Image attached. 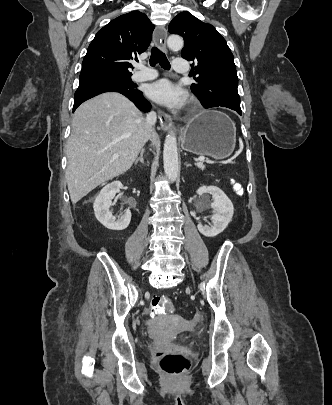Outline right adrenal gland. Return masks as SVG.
<instances>
[{
	"label": "right adrenal gland",
	"mask_w": 332,
	"mask_h": 405,
	"mask_svg": "<svg viewBox=\"0 0 332 405\" xmlns=\"http://www.w3.org/2000/svg\"><path fill=\"white\" fill-rule=\"evenodd\" d=\"M144 153H145V150L142 149L141 152H140V157L135 160V163H134L135 165H136L139 161H140L141 163H144V158H143Z\"/></svg>",
	"instance_id": "2a0ac1e0"
}]
</instances>
